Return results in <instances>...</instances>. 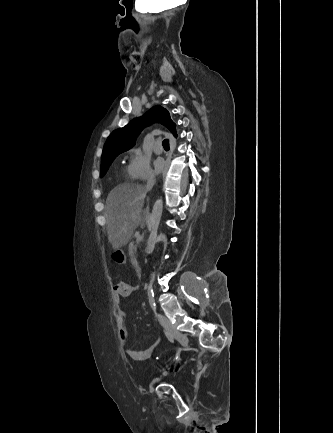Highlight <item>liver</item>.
<instances>
[{
    "label": "liver",
    "mask_w": 333,
    "mask_h": 433,
    "mask_svg": "<svg viewBox=\"0 0 333 433\" xmlns=\"http://www.w3.org/2000/svg\"><path fill=\"white\" fill-rule=\"evenodd\" d=\"M148 192L144 185L124 183L108 194L104 216L108 240L114 250L127 245L136 228L142 225Z\"/></svg>",
    "instance_id": "obj_1"
}]
</instances>
